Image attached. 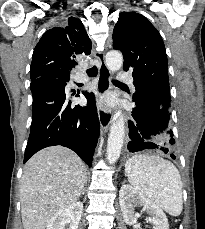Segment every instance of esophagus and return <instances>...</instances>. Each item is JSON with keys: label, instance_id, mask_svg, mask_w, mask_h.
<instances>
[{"label": "esophagus", "instance_id": "esophagus-1", "mask_svg": "<svg viewBox=\"0 0 205 229\" xmlns=\"http://www.w3.org/2000/svg\"><path fill=\"white\" fill-rule=\"evenodd\" d=\"M95 58L99 64V76L97 85V112L99 122L103 130H107L112 121L111 111L103 104L104 95L110 90V70L104 61V54L101 51L94 53Z\"/></svg>", "mask_w": 205, "mask_h": 229}]
</instances>
